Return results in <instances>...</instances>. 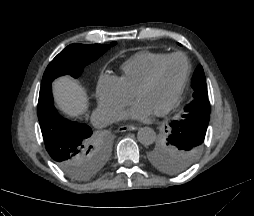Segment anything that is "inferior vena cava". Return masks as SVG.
Masks as SVG:
<instances>
[{"mask_svg": "<svg viewBox=\"0 0 254 216\" xmlns=\"http://www.w3.org/2000/svg\"><path fill=\"white\" fill-rule=\"evenodd\" d=\"M121 119L122 114L117 109L104 105H99L91 115V123L96 128L106 127Z\"/></svg>", "mask_w": 254, "mask_h": 216, "instance_id": "obj_1", "label": "inferior vena cava"}]
</instances>
